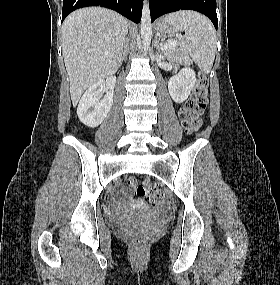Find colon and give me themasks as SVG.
<instances>
[{
	"instance_id": "obj_1",
	"label": "colon",
	"mask_w": 280,
	"mask_h": 285,
	"mask_svg": "<svg viewBox=\"0 0 280 285\" xmlns=\"http://www.w3.org/2000/svg\"><path fill=\"white\" fill-rule=\"evenodd\" d=\"M208 86V77L200 73L193 94L180 111L182 125L188 133H193L201 127V116L208 103ZM126 185L138 196H147L152 205H162L165 202V194L152 183H141L135 178H128ZM132 243L139 246L143 243V238L135 236L132 238Z\"/></svg>"
}]
</instances>
